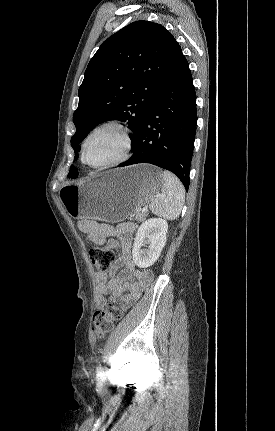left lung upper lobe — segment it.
I'll list each match as a JSON object with an SVG mask.
<instances>
[{"label":"left lung upper lobe","instance_id":"left-lung-upper-lobe-1","mask_svg":"<svg viewBox=\"0 0 275 431\" xmlns=\"http://www.w3.org/2000/svg\"><path fill=\"white\" fill-rule=\"evenodd\" d=\"M181 52V47L162 25L133 22L102 43L90 60L79 88V105L73 115L78 144L98 124L127 122L132 143L155 97ZM78 158L75 156L74 160ZM78 174L72 165L68 177Z\"/></svg>","mask_w":275,"mask_h":431}]
</instances>
